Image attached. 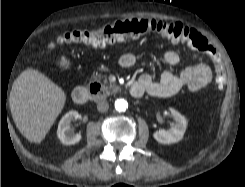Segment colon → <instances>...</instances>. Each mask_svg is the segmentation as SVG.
<instances>
[{
	"label": "colon",
	"instance_id": "obj_1",
	"mask_svg": "<svg viewBox=\"0 0 245 187\" xmlns=\"http://www.w3.org/2000/svg\"><path fill=\"white\" fill-rule=\"evenodd\" d=\"M147 33H156L174 43L185 44L216 59V50L201 33L181 23H167L147 19H121L95 29L69 30L59 35L49 46L80 43L91 47H104L109 44L135 39ZM219 83L222 73L218 71Z\"/></svg>",
	"mask_w": 245,
	"mask_h": 187
}]
</instances>
